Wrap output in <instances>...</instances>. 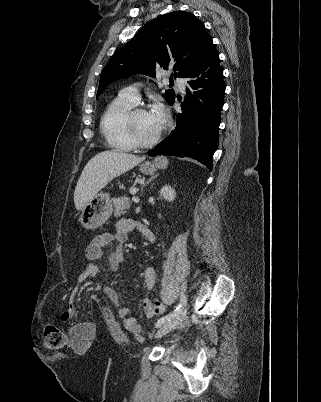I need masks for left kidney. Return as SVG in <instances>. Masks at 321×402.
Segmentation results:
<instances>
[{
    "mask_svg": "<svg viewBox=\"0 0 321 402\" xmlns=\"http://www.w3.org/2000/svg\"><path fill=\"white\" fill-rule=\"evenodd\" d=\"M160 195L168 202H173L176 197V192L171 186H163L160 190Z\"/></svg>",
    "mask_w": 321,
    "mask_h": 402,
    "instance_id": "1",
    "label": "left kidney"
}]
</instances>
